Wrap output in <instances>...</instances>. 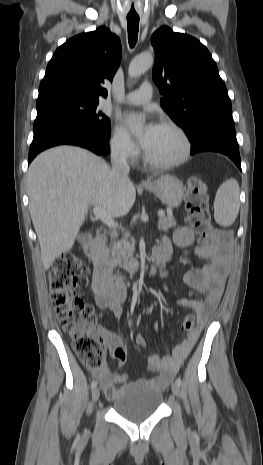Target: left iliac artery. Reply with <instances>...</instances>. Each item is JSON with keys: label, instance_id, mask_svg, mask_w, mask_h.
Here are the masks:
<instances>
[{"label": "left iliac artery", "instance_id": "1", "mask_svg": "<svg viewBox=\"0 0 263 465\" xmlns=\"http://www.w3.org/2000/svg\"><path fill=\"white\" fill-rule=\"evenodd\" d=\"M176 382H177V384H178L179 386L182 385V380H181L180 378H177V379H176Z\"/></svg>", "mask_w": 263, "mask_h": 465}]
</instances>
